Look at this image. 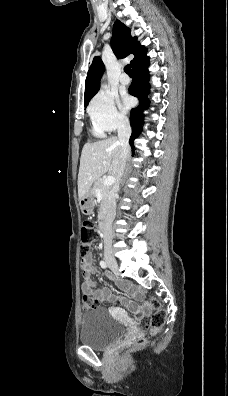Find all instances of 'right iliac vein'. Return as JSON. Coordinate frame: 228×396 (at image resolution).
Segmentation results:
<instances>
[{"mask_svg":"<svg viewBox=\"0 0 228 396\" xmlns=\"http://www.w3.org/2000/svg\"><path fill=\"white\" fill-rule=\"evenodd\" d=\"M105 261H106L107 265L111 268V270L117 274L119 267H118V263L115 260V258L112 255L107 254V255H105Z\"/></svg>","mask_w":228,"mask_h":396,"instance_id":"right-iliac-vein-1","label":"right iliac vein"}]
</instances>
